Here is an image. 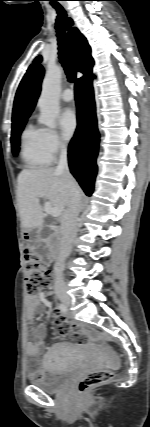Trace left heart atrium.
I'll return each mask as SVG.
<instances>
[{"instance_id": "obj_1", "label": "left heart atrium", "mask_w": 150, "mask_h": 427, "mask_svg": "<svg viewBox=\"0 0 150 427\" xmlns=\"http://www.w3.org/2000/svg\"><path fill=\"white\" fill-rule=\"evenodd\" d=\"M60 127L66 139H70L77 128V117L73 109L67 108L60 115Z\"/></svg>"}]
</instances>
